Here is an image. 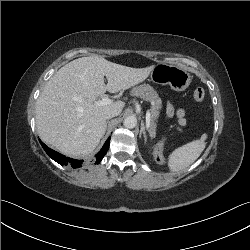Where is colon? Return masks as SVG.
<instances>
[{"instance_id": "5ec220e1", "label": "colon", "mask_w": 250, "mask_h": 250, "mask_svg": "<svg viewBox=\"0 0 250 250\" xmlns=\"http://www.w3.org/2000/svg\"><path fill=\"white\" fill-rule=\"evenodd\" d=\"M193 99L196 102H201L203 101L205 97V92L202 88H196L193 91L192 94ZM165 151V148L163 146V142L161 144H158L155 146V148L152 150L151 155L153 158L156 159V162L159 165H173L174 164V159L173 158H167L163 153Z\"/></svg>"}]
</instances>
